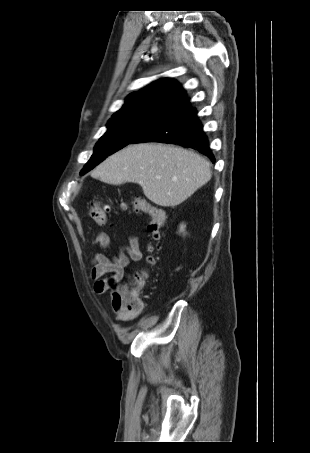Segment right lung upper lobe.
I'll list each match as a JSON object with an SVG mask.
<instances>
[{
  "label": "right lung upper lobe",
  "instance_id": "obj_1",
  "mask_svg": "<svg viewBox=\"0 0 310 453\" xmlns=\"http://www.w3.org/2000/svg\"><path fill=\"white\" fill-rule=\"evenodd\" d=\"M186 97L185 90L178 82L168 78L159 79L146 88L129 94L125 104L113 116L159 117Z\"/></svg>",
  "mask_w": 310,
  "mask_h": 453
}]
</instances>
